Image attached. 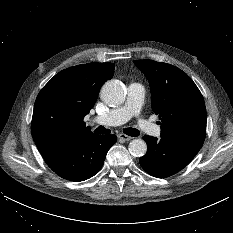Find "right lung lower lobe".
Masks as SVG:
<instances>
[{"mask_svg":"<svg viewBox=\"0 0 233 233\" xmlns=\"http://www.w3.org/2000/svg\"><path fill=\"white\" fill-rule=\"evenodd\" d=\"M116 141L115 135L93 134L42 153V156L60 177L75 182L84 181L101 169L109 148Z\"/></svg>","mask_w":233,"mask_h":233,"instance_id":"98d812e1","label":"right lung lower lobe"}]
</instances>
